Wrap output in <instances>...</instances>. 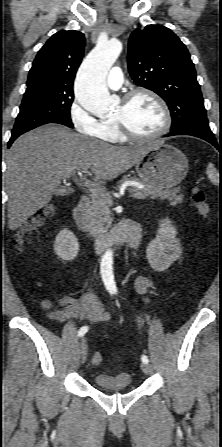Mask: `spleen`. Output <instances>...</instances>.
<instances>
[{
  "mask_svg": "<svg viewBox=\"0 0 222 447\" xmlns=\"http://www.w3.org/2000/svg\"><path fill=\"white\" fill-rule=\"evenodd\" d=\"M206 173H207L210 181L214 185H217L219 183V174H218L216 168L214 167V165L212 163L208 164Z\"/></svg>",
  "mask_w": 222,
  "mask_h": 447,
  "instance_id": "1",
  "label": "spleen"
}]
</instances>
